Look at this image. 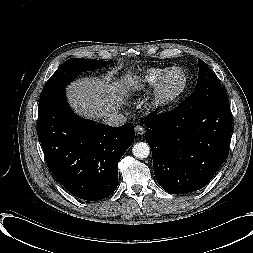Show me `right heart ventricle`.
Instances as JSON below:
<instances>
[{
	"mask_svg": "<svg viewBox=\"0 0 253 253\" xmlns=\"http://www.w3.org/2000/svg\"><path fill=\"white\" fill-rule=\"evenodd\" d=\"M166 70L167 68H150L146 70L135 79L132 90L138 94L150 91Z\"/></svg>",
	"mask_w": 253,
	"mask_h": 253,
	"instance_id": "obj_1",
	"label": "right heart ventricle"
}]
</instances>
